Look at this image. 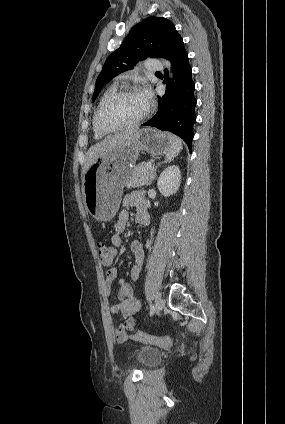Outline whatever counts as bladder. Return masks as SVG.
I'll use <instances>...</instances> for the list:
<instances>
[{
	"instance_id": "obj_1",
	"label": "bladder",
	"mask_w": 285,
	"mask_h": 424,
	"mask_svg": "<svg viewBox=\"0 0 285 424\" xmlns=\"http://www.w3.org/2000/svg\"><path fill=\"white\" fill-rule=\"evenodd\" d=\"M162 352L152 347H141L136 350L135 359L145 367H151L158 364L162 359Z\"/></svg>"
}]
</instances>
